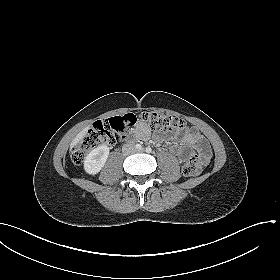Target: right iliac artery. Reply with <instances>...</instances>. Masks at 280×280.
Returning <instances> with one entry per match:
<instances>
[{"instance_id": "82829eb1", "label": "right iliac artery", "mask_w": 280, "mask_h": 280, "mask_svg": "<svg viewBox=\"0 0 280 280\" xmlns=\"http://www.w3.org/2000/svg\"><path fill=\"white\" fill-rule=\"evenodd\" d=\"M136 149L141 150L142 149V145L141 144H136L135 145Z\"/></svg>"}]
</instances>
